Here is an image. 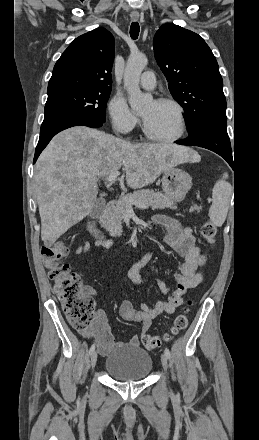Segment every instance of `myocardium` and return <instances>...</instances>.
<instances>
[{"instance_id": "obj_1", "label": "myocardium", "mask_w": 259, "mask_h": 440, "mask_svg": "<svg viewBox=\"0 0 259 440\" xmlns=\"http://www.w3.org/2000/svg\"><path fill=\"white\" fill-rule=\"evenodd\" d=\"M155 102L159 104H169L176 109L177 117H178V131L174 136L168 138L156 136L149 130L145 120L142 118V131L144 135L149 140L158 143L168 144V143L176 142L184 135L186 130V119H185V112L183 106L177 100L172 98H159Z\"/></svg>"}]
</instances>
